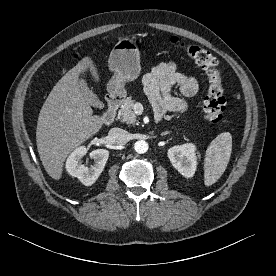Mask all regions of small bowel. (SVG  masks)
Returning <instances> with one entry per match:
<instances>
[{
	"label": "small bowel",
	"mask_w": 276,
	"mask_h": 276,
	"mask_svg": "<svg viewBox=\"0 0 276 276\" xmlns=\"http://www.w3.org/2000/svg\"><path fill=\"white\" fill-rule=\"evenodd\" d=\"M144 90L154 108L156 115L166 112L183 113L186 102L171 94L174 86L188 97L197 94L199 85L197 80L179 70L176 64L166 62L153 67L143 78Z\"/></svg>",
	"instance_id": "c3829d8e"
}]
</instances>
